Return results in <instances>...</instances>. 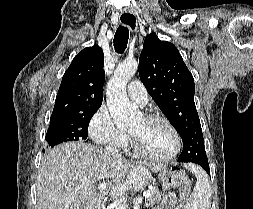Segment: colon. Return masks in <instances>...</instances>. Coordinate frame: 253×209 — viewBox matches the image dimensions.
<instances>
[{
    "label": "colon",
    "mask_w": 253,
    "mask_h": 209,
    "mask_svg": "<svg viewBox=\"0 0 253 209\" xmlns=\"http://www.w3.org/2000/svg\"><path fill=\"white\" fill-rule=\"evenodd\" d=\"M168 183L171 186H179V198L183 203L189 196L190 182L185 172L177 169L169 171ZM181 209H184L183 205H180Z\"/></svg>",
    "instance_id": "colon-1"
}]
</instances>
